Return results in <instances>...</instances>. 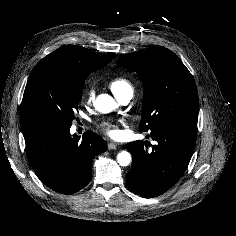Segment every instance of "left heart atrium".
<instances>
[{
	"label": "left heart atrium",
	"mask_w": 236,
	"mask_h": 236,
	"mask_svg": "<svg viewBox=\"0 0 236 236\" xmlns=\"http://www.w3.org/2000/svg\"><path fill=\"white\" fill-rule=\"evenodd\" d=\"M101 129L111 137H116L119 134L117 127L110 121L100 123Z\"/></svg>",
	"instance_id": "left-heart-atrium-1"
}]
</instances>
